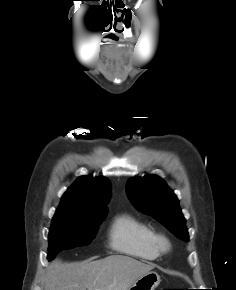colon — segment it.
<instances>
[{
	"label": "colon",
	"mask_w": 236,
	"mask_h": 290,
	"mask_svg": "<svg viewBox=\"0 0 236 290\" xmlns=\"http://www.w3.org/2000/svg\"><path fill=\"white\" fill-rule=\"evenodd\" d=\"M164 290H177V289H164Z\"/></svg>",
	"instance_id": "5ec220e1"
}]
</instances>
